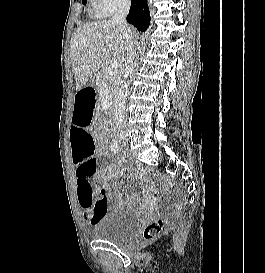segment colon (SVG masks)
Listing matches in <instances>:
<instances>
[{"label":"colon","mask_w":265,"mask_h":273,"mask_svg":"<svg viewBox=\"0 0 265 273\" xmlns=\"http://www.w3.org/2000/svg\"><path fill=\"white\" fill-rule=\"evenodd\" d=\"M86 136L90 139L92 138L88 132L86 133ZM101 207L102 205L99 204L97 206V209L99 210ZM179 210H181V206H179ZM165 226H166L165 222L161 220L150 223L143 230L142 233L143 240L151 241L155 239L165 229Z\"/></svg>","instance_id":"5ec220e1"}]
</instances>
